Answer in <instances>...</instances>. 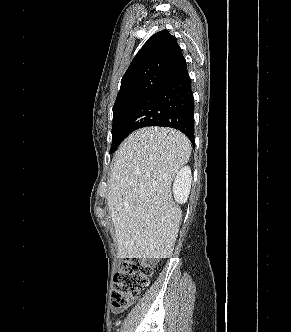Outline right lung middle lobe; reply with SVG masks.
<instances>
[{
	"label": "right lung middle lobe",
	"mask_w": 291,
	"mask_h": 332,
	"mask_svg": "<svg viewBox=\"0 0 291 332\" xmlns=\"http://www.w3.org/2000/svg\"><path fill=\"white\" fill-rule=\"evenodd\" d=\"M152 90L140 91L116 100L113 106L112 146L110 152H114L126 138L124 133L126 123L134 114L138 105Z\"/></svg>",
	"instance_id": "right-lung-middle-lobe-1"
}]
</instances>
